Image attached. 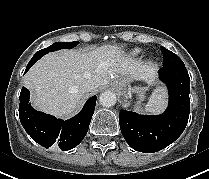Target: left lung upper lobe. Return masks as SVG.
I'll return each mask as SVG.
<instances>
[{"label": "left lung upper lobe", "mask_w": 209, "mask_h": 179, "mask_svg": "<svg viewBox=\"0 0 209 179\" xmlns=\"http://www.w3.org/2000/svg\"><path fill=\"white\" fill-rule=\"evenodd\" d=\"M164 61H163V67L170 68V67H176L183 65L184 63L182 60L173 52L167 50L164 47H161Z\"/></svg>", "instance_id": "1"}]
</instances>
